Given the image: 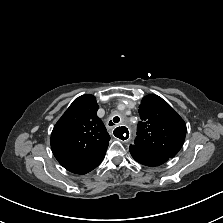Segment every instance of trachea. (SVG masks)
<instances>
[{
  "label": "trachea",
  "mask_w": 223,
  "mask_h": 223,
  "mask_svg": "<svg viewBox=\"0 0 223 223\" xmlns=\"http://www.w3.org/2000/svg\"><path fill=\"white\" fill-rule=\"evenodd\" d=\"M119 121H120V118L116 116L113 118L112 121L109 122V125L110 126L115 125L114 123H118Z\"/></svg>",
  "instance_id": "trachea-1"
}]
</instances>
